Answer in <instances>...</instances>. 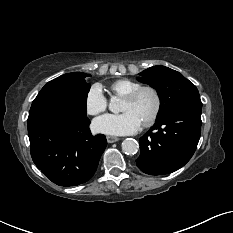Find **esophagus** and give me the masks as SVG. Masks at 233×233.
I'll use <instances>...</instances> for the list:
<instances>
[{
  "label": "esophagus",
  "mask_w": 233,
  "mask_h": 233,
  "mask_svg": "<svg viewBox=\"0 0 233 233\" xmlns=\"http://www.w3.org/2000/svg\"><path fill=\"white\" fill-rule=\"evenodd\" d=\"M107 142L108 143H114V142H117L119 140L118 137H115V136H107Z\"/></svg>",
  "instance_id": "34e87169"
}]
</instances>
